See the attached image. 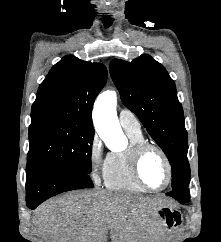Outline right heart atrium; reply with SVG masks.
Returning a JSON list of instances; mask_svg holds the SVG:
<instances>
[{
    "label": "right heart atrium",
    "mask_w": 221,
    "mask_h": 242,
    "mask_svg": "<svg viewBox=\"0 0 221 242\" xmlns=\"http://www.w3.org/2000/svg\"><path fill=\"white\" fill-rule=\"evenodd\" d=\"M88 161L90 174L96 184H99L103 175L106 157L104 156L102 142L97 134H93L88 145Z\"/></svg>",
    "instance_id": "1"
}]
</instances>
